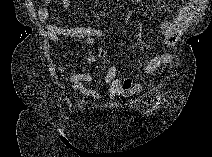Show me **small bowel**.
<instances>
[{"label": "small bowel", "instance_id": "c3829d8e", "mask_svg": "<svg viewBox=\"0 0 212 157\" xmlns=\"http://www.w3.org/2000/svg\"><path fill=\"white\" fill-rule=\"evenodd\" d=\"M61 5L64 9L71 6V0H61ZM199 9V3L196 1L185 2L169 20H165L161 24L162 42L166 46H173L178 40L180 33L188 26ZM38 17L41 23L46 28L51 41L56 42L60 37H104L108 34L107 31L85 27H60L53 23H48L49 11L45 7L38 10ZM173 61L172 55L162 53L151 58L141 69V74L144 76L155 73L161 66L170 65ZM61 75L65 76V70L62 66L59 67ZM69 80L73 83L74 88L86 97L100 99L101 96L97 91L98 84L88 73L82 72L69 76ZM104 81L108 86L107 98L112 99L116 96L127 95L134 90H139L140 85L131 79L122 80L118 78L117 68L111 66L108 68ZM87 84L88 86H85Z\"/></svg>", "mask_w": 212, "mask_h": 157}]
</instances>
